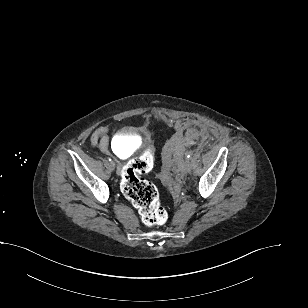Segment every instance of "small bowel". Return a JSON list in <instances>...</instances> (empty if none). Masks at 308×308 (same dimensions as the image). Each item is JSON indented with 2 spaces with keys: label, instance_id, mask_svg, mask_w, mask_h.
<instances>
[{
  "label": "small bowel",
  "instance_id": "small-bowel-1",
  "mask_svg": "<svg viewBox=\"0 0 308 308\" xmlns=\"http://www.w3.org/2000/svg\"><path fill=\"white\" fill-rule=\"evenodd\" d=\"M193 122L191 120H180L177 126L181 129H191ZM109 129L107 127H99L91 136V144L93 147H99L101 151L107 153L109 150Z\"/></svg>",
  "mask_w": 308,
  "mask_h": 308
}]
</instances>
